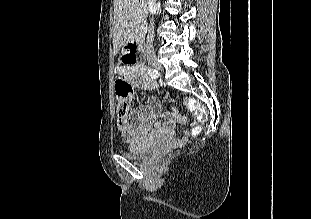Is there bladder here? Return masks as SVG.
Wrapping results in <instances>:
<instances>
[{"label": "bladder", "instance_id": "bladder-1", "mask_svg": "<svg viewBox=\"0 0 311 219\" xmlns=\"http://www.w3.org/2000/svg\"><path fill=\"white\" fill-rule=\"evenodd\" d=\"M151 146H146L140 141H135L129 144L128 149L124 152V156L129 159H140L151 153Z\"/></svg>", "mask_w": 311, "mask_h": 219}]
</instances>
